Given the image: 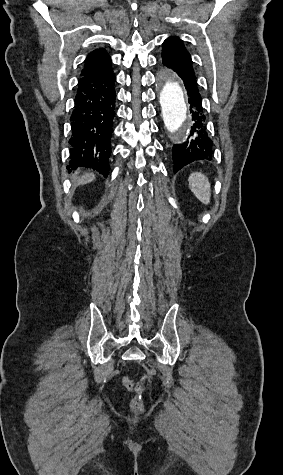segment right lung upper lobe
<instances>
[{
  "mask_svg": "<svg viewBox=\"0 0 283 475\" xmlns=\"http://www.w3.org/2000/svg\"><path fill=\"white\" fill-rule=\"evenodd\" d=\"M111 68V58L104 49H96L88 54L81 75L106 71Z\"/></svg>",
  "mask_w": 283,
  "mask_h": 475,
  "instance_id": "cb5924a9",
  "label": "right lung upper lobe"
}]
</instances>
